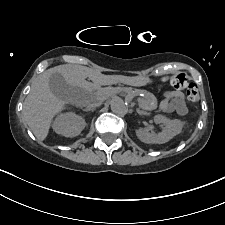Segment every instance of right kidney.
<instances>
[{"mask_svg":"<svg viewBox=\"0 0 225 225\" xmlns=\"http://www.w3.org/2000/svg\"><path fill=\"white\" fill-rule=\"evenodd\" d=\"M85 120L74 112L60 114L53 122V130L65 137L78 136L85 128Z\"/></svg>","mask_w":225,"mask_h":225,"instance_id":"ca27d5eb","label":"right kidney"}]
</instances>
